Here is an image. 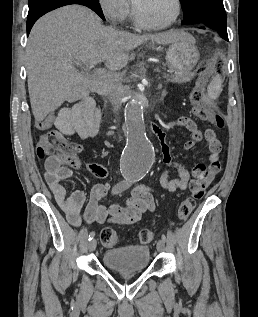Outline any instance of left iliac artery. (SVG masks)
<instances>
[{
  "label": "left iliac artery",
  "instance_id": "1",
  "mask_svg": "<svg viewBox=\"0 0 258 317\" xmlns=\"http://www.w3.org/2000/svg\"><path fill=\"white\" fill-rule=\"evenodd\" d=\"M141 178L140 177H134L133 178V182H137V181H139ZM161 238H162V241L163 242H166V236H165V234H162L161 235Z\"/></svg>",
  "mask_w": 258,
  "mask_h": 317
}]
</instances>
